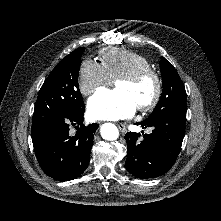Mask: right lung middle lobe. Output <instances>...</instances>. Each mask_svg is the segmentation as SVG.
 Wrapping results in <instances>:
<instances>
[{
  "mask_svg": "<svg viewBox=\"0 0 221 221\" xmlns=\"http://www.w3.org/2000/svg\"><path fill=\"white\" fill-rule=\"evenodd\" d=\"M81 47L63 58L44 81L34 108L31 133L39 131L55 118L84 111L78 86Z\"/></svg>",
  "mask_w": 221,
  "mask_h": 221,
  "instance_id": "right-lung-middle-lobe-1",
  "label": "right lung middle lobe"
}]
</instances>
